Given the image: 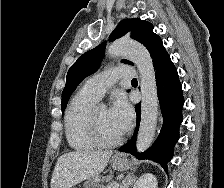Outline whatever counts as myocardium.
Returning <instances> with one entry per match:
<instances>
[{
  "mask_svg": "<svg viewBox=\"0 0 224 188\" xmlns=\"http://www.w3.org/2000/svg\"><path fill=\"white\" fill-rule=\"evenodd\" d=\"M99 107H93L89 113L87 125L91 138L96 143V145L102 147H113L120 144L124 139V133L118 136L115 139H107L105 138L100 131L99 123L97 119V110Z\"/></svg>",
  "mask_w": 224,
  "mask_h": 188,
  "instance_id": "1",
  "label": "myocardium"
}]
</instances>
